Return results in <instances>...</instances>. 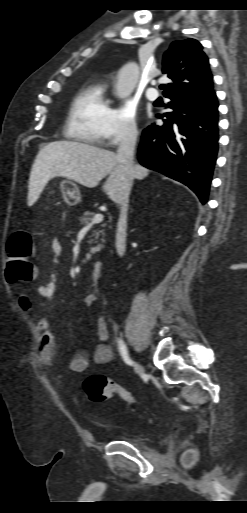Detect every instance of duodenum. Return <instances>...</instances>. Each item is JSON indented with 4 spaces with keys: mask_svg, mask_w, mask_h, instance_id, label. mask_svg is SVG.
I'll list each match as a JSON object with an SVG mask.
<instances>
[{
    "mask_svg": "<svg viewBox=\"0 0 247 513\" xmlns=\"http://www.w3.org/2000/svg\"><path fill=\"white\" fill-rule=\"evenodd\" d=\"M104 264L101 261H96L93 264L91 279L93 282H98L103 274Z\"/></svg>",
    "mask_w": 247,
    "mask_h": 513,
    "instance_id": "duodenum-1",
    "label": "duodenum"
}]
</instances>
